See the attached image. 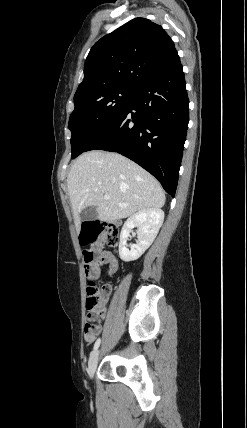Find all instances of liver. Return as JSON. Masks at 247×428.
<instances>
[{
  "instance_id": "obj_1",
  "label": "liver",
  "mask_w": 247,
  "mask_h": 428,
  "mask_svg": "<svg viewBox=\"0 0 247 428\" xmlns=\"http://www.w3.org/2000/svg\"><path fill=\"white\" fill-rule=\"evenodd\" d=\"M67 186L78 230L80 213L88 206L96 207L100 221H112L148 208L159 209L166 200L161 185L146 170L120 154L98 150L77 158ZM105 195L110 199L105 200Z\"/></svg>"
}]
</instances>
